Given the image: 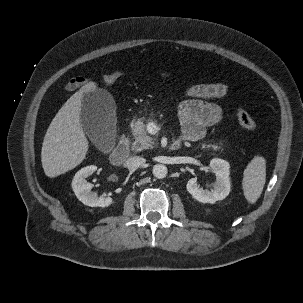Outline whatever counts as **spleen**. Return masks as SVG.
Wrapping results in <instances>:
<instances>
[{
    "label": "spleen",
    "mask_w": 303,
    "mask_h": 303,
    "mask_svg": "<svg viewBox=\"0 0 303 303\" xmlns=\"http://www.w3.org/2000/svg\"><path fill=\"white\" fill-rule=\"evenodd\" d=\"M266 181V160L255 156L243 172L242 188L246 200L254 204L260 197Z\"/></svg>",
    "instance_id": "obj_1"
}]
</instances>
